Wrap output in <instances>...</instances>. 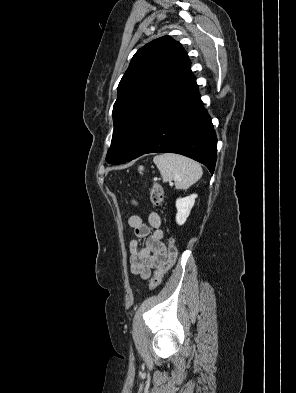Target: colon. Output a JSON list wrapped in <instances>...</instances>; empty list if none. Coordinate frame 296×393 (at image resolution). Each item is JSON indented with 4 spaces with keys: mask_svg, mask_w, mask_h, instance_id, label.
I'll return each mask as SVG.
<instances>
[{
    "mask_svg": "<svg viewBox=\"0 0 296 393\" xmlns=\"http://www.w3.org/2000/svg\"><path fill=\"white\" fill-rule=\"evenodd\" d=\"M139 170L141 173H144L146 171V167L141 166ZM163 198H164L163 188L160 185V183L155 181L153 183L151 195H150L151 203L156 207H160L163 203ZM134 204L137 205L136 202H134ZM176 256H177L176 245H175L173 239H169L168 245L166 248V256H165L164 260L161 262V264L158 266L154 276L152 277V279L150 281V289L151 290L156 289L161 284L165 274L173 266Z\"/></svg>",
    "mask_w": 296,
    "mask_h": 393,
    "instance_id": "obj_1",
    "label": "colon"
}]
</instances>
